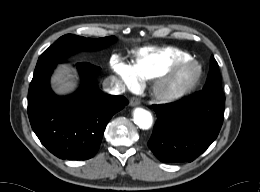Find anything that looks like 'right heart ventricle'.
I'll list each match as a JSON object with an SVG mask.
<instances>
[{"label":"right heart ventricle","mask_w":260,"mask_h":192,"mask_svg":"<svg viewBox=\"0 0 260 192\" xmlns=\"http://www.w3.org/2000/svg\"><path fill=\"white\" fill-rule=\"evenodd\" d=\"M190 59V55L180 49L146 48L137 57L133 68L141 79H154L164 74L176 63Z\"/></svg>","instance_id":"obj_1"}]
</instances>
